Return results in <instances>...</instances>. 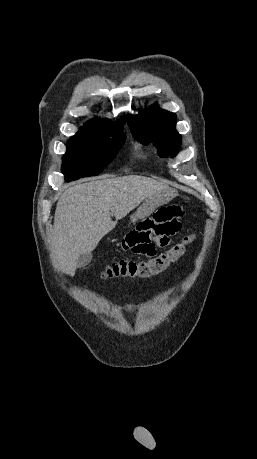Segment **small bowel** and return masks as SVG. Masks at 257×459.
<instances>
[{"instance_id":"obj_1","label":"small bowel","mask_w":257,"mask_h":459,"mask_svg":"<svg viewBox=\"0 0 257 459\" xmlns=\"http://www.w3.org/2000/svg\"><path fill=\"white\" fill-rule=\"evenodd\" d=\"M184 219L183 205H158L152 217H144L143 223H134L133 230H128V235L119 240V247L137 258H156V246L161 245L163 250L170 247L169 236L180 232L179 222Z\"/></svg>"}]
</instances>
